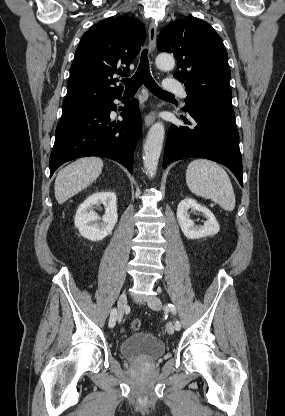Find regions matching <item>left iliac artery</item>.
Here are the masks:
<instances>
[{"instance_id": "left-iliac-artery-1", "label": "left iliac artery", "mask_w": 285, "mask_h": 416, "mask_svg": "<svg viewBox=\"0 0 285 416\" xmlns=\"http://www.w3.org/2000/svg\"><path fill=\"white\" fill-rule=\"evenodd\" d=\"M165 310H167V311H171L173 314H176V307H175L173 304H171V303H168V304L165 306ZM178 327H180V328H181V324H180V322H179V321H176V322H175V328L177 329ZM177 330H180V329H177Z\"/></svg>"}]
</instances>
